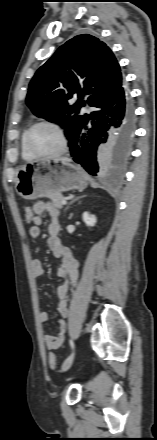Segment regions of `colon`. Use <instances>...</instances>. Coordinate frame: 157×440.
Masks as SVG:
<instances>
[{
    "label": "colon",
    "mask_w": 157,
    "mask_h": 440,
    "mask_svg": "<svg viewBox=\"0 0 157 440\" xmlns=\"http://www.w3.org/2000/svg\"><path fill=\"white\" fill-rule=\"evenodd\" d=\"M23 214H24L25 221L28 224H33L34 223L35 214H34L33 209L31 207H28V206L25 207ZM48 362H49L50 368L52 370H55L56 367H57V359H56L55 354H53V353L49 354Z\"/></svg>",
    "instance_id": "obj_1"
}]
</instances>
